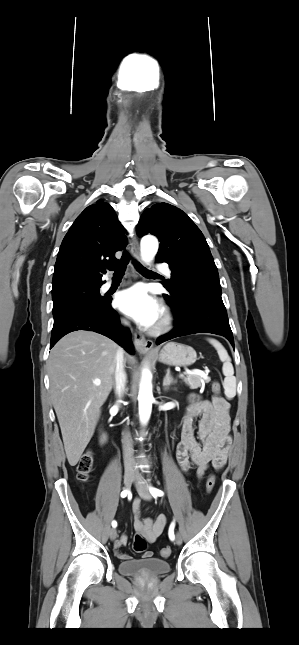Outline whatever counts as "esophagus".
I'll list each match as a JSON object with an SVG mask.
<instances>
[{
    "instance_id": "34e87169",
    "label": "esophagus",
    "mask_w": 299,
    "mask_h": 645,
    "mask_svg": "<svg viewBox=\"0 0 299 645\" xmlns=\"http://www.w3.org/2000/svg\"><path fill=\"white\" fill-rule=\"evenodd\" d=\"M130 248L133 258L136 261H140L139 245L136 237H132L130 240ZM132 269L133 272H136L133 266ZM134 345L137 351L143 354L148 353L153 349V342L151 340H146L139 332H135L134 334Z\"/></svg>"
}]
</instances>
